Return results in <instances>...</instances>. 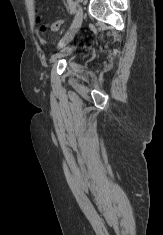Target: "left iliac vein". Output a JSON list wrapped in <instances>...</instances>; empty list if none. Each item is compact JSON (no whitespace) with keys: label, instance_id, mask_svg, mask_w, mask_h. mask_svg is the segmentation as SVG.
<instances>
[{"label":"left iliac vein","instance_id":"left-iliac-vein-1","mask_svg":"<svg viewBox=\"0 0 163 235\" xmlns=\"http://www.w3.org/2000/svg\"><path fill=\"white\" fill-rule=\"evenodd\" d=\"M83 17H84L83 9L79 6L76 10V14L71 26L69 27V29L67 30V32L65 33V35L62 37V39L58 44L59 48L64 47L66 44L72 41V39L74 38V36L76 35V33L78 32V30L82 25ZM67 52L68 50L64 49L62 53L57 55V57H61L65 55Z\"/></svg>","mask_w":163,"mask_h":235}]
</instances>
